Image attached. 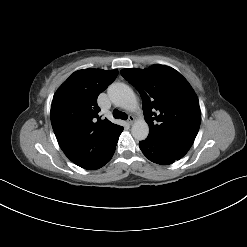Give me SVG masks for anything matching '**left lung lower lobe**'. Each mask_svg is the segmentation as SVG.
Segmentation results:
<instances>
[{
  "mask_svg": "<svg viewBox=\"0 0 247 247\" xmlns=\"http://www.w3.org/2000/svg\"><path fill=\"white\" fill-rule=\"evenodd\" d=\"M143 154L152 162L168 165L181 159L190 149V146L157 140L147 137L139 142Z\"/></svg>",
  "mask_w": 247,
  "mask_h": 247,
  "instance_id": "left-lung-lower-lobe-1",
  "label": "left lung lower lobe"
}]
</instances>
